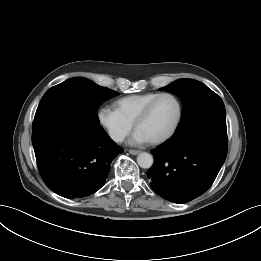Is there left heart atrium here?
<instances>
[{
  "label": "left heart atrium",
  "mask_w": 261,
  "mask_h": 261,
  "mask_svg": "<svg viewBox=\"0 0 261 261\" xmlns=\"http://www.w3.org/2000/svg\"><path fill=\"white\" fill-rule=\"evenodd\" d=\"M149 142V139L143 134L141 133L140 131L136 130L129 143L132 144V145H142V144H145V143H148Z\"/></svg>",
  "instance_id": "left-heart-atrium-1"
}]
</instances>
